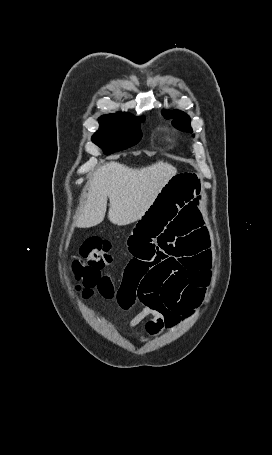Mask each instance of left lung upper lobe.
I'll use <instances>...</instances> for the list:
<instances>
[{"label": "left lung upper lobe", "instance_id": "1", "mask_svg": "<svg viewBox=\"0 0 272 455\" xmlns=\"http://www.w3.org/2000/svg\"><path fill=\"white\" fill-rule=\"evenodd\" d=\"M165 118H172L174 119L172 124L182 131L192 132V128L190 126V117L186 115L184 112L179 110L169 111L165 110L162 112Z\"/></svg>", "mask_w": 272, "mask_h": 455}]
</instances>
